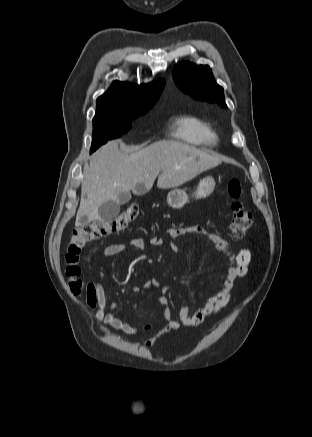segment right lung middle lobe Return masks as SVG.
Wrapping results in <instances>:
<instances>
[{"instance_id":"1","label":"right lung middle lobe","mask_w":312,"mask_h":437,"mask_svg":"<svg viewBox=\"0 0 312 437\" xmlns=\"http://www.w3.org/2000/svg\"><path fill=\"white\" fill-rule=\"evenodd\" d=\"M147 112V111H146ZM144 112L143 114H145ZM141 114V115H143ZM137 116H121L114 114H96L93 118V137L91 152L95 151L107 140L120 137L130 128L129 124Z\"/></svg>"}]
</instances>
